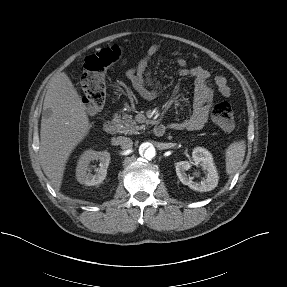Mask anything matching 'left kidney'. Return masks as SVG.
Returning a JSON list of instances; mask_svg holds the SVG:
<instances>
[{"instance_id":"obj_1","label":"left kidney","mask_w":287,"mask_h":287,"mask_svg":"<svg viewBox=\"0 0 287 287\" xmlns=\"http://www.w3.org/2000/svg\"><path fill=\"white\" fill-rule=\"evenodd\" d=\"M192 158L195 165H200L207 171L206 177L201 182H194L192 177L186 174V171L191 167V162L180 161L175 166L178 178L182 184L194 191L207 192L213 190L218 184L219 176L211 153L203 147H195Z\"/></svg>"}]
</instances>
